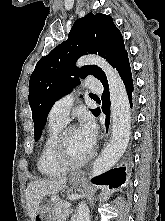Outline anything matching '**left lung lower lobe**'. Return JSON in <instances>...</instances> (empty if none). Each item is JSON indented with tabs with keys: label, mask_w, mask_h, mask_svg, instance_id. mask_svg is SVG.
Returning <instances> with one entry per match:
<instances>
[{
	"label": "left lung lower lobe",
	"mask_w": 165,
	"mask_h": 221,
	"mask_svg": "<svg viewBox=\"0 0 165 221\" xmlns=\"http://www.w3.org/2000/svg\"><path fill=\"white\" fill-rule=\"evenodd\" d=\"M117 71L121 76L129 97V101L132 107V95L134 91L131 68L129 64L128 55L124 56L120 63L117 66ZM104 92L102 94V111L106 115L105 125L106 129H108L109 121H110V94H109V86L107 80L103 83ZM99 113L96 112V116ZM126 180L125 167L111 169L110 171L101 174L100 176L95 177L92 182L99 185H109L110 188H116L124 184Z\"/></svg>",
	"instance_id": "obj_1"
}]
</instances>
